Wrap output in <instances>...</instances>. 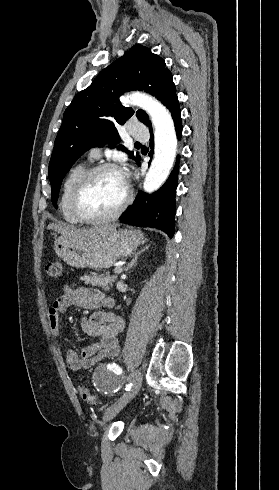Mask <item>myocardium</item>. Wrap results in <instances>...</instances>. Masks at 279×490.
<instances>
[{
	"instance_id": "1",
	"label": "myocardium",
	"mask_w": 279,
	"mask_h": 490,
	"mask_svg": "<svg viewBox=\"0 0 279 490\" xmlns=\"http://www.w3.org/2000/svg\"><path fill=\"white\" fill-rule=\"evenodd\" d=\"M105 171H115L123 174V169L120 166L112 163H101L88 168L78 181L73 197V207L77 216L84 222L101 223L114 220L121 216L132 202L133 192L126 184V197L113 212L105 215H92L86 210L85 198L91 183L97 175Z\"/></svg>"
}]
</instances>
